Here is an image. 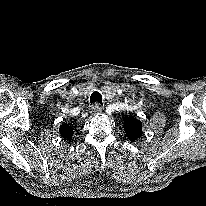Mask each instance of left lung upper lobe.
<instances>
[{
    "instance_id": "obj_1",
    "label": "left lung upper lobe",
    "mask_w": 206,
    "mask_h": 206,
    "mask_svg": "<svg viewBox=\"0 0 206 206\" xmlns=\"http://www.w3.org/2000/svg\"><path fill=\"white\" fill-rule=\"evenodd\" d=\"M124 130L129 140L134 141L142 136L141 121L134 117L124 118Z\"/></svg>"
}]
</instances>
